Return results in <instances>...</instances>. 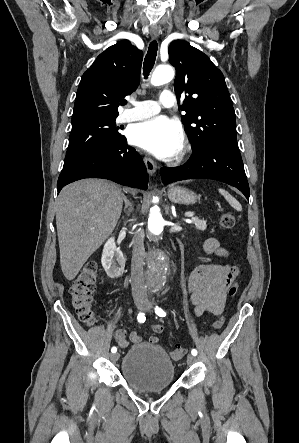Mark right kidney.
Instances as JSON below:
<instances>
[{"instance_id": "1", "label": "right kidney", "mask_w": 299, "mask_h": 443, "mask_svg": "<svg viewBox=\"0 0 299 443\" xmlns=\"http://www.w3.org/2000/svg\"><path fill=\"white\" fill-rule=\"evenodd\" d=\"M101 262L110 278H118L124 272L125 258L122 251L116 247L114 237L109 238L105 243Z\"/></svg>"}]
</instances>
